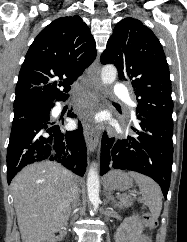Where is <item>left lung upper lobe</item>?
<instances>
[{"mask_svg": "<svg viewBox=\"0 0 187 242\" xmlns=\"http://www.w3.org/2000/svg\"><path fill=\"white\" fill-rule=\"evenodd\" d=\"M101 62L114 64L119 79L131 81L137 116L173 122L166 57L158 38L141 21L129 17L115 26Z\"/></svg>", "mask_w": 187, "mask_h": 242, "instance_id": "obj_1", "label": "left lung upper lobe"}]
</instances>
